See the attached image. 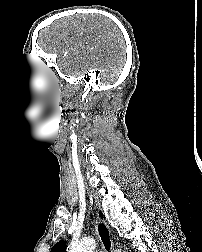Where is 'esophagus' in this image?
<instances>
[{"instance_id": "1", "label": "esophagus", "mask_w": 202, "mask_h": 252, "mask_svg": "<svg viewBox=\"0 0 202 252\" xmlns=\"http://www.w3.org/2000/svg\"><path fill=\"white\" fill-rule=\"evenodd\" d=\"M96 231L101 241L103 252H114L110 229L104 221L98 218H96Z\"/></svg>"}]
</instances>
